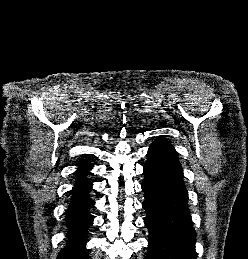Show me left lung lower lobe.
Segmentation results:
<instances>
[{"label":"left lung lower lobe","instance_id":"left-lung-lower-lobe-1","mask_svg":"<svg viewBox=\"0 0 248 259\" xmlns=\"http://www.w3.org/2000/svg\"><path fill=\"white\" fill-rule=\"evenodd\" d=\"M147 157L141 185L150 230L146 259H196V233L177 154L169 143L156 140Z\"/></svg>","mask_w":248,"mask_h":259}]
</instances>
